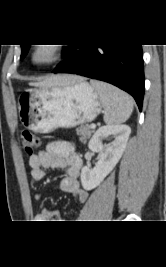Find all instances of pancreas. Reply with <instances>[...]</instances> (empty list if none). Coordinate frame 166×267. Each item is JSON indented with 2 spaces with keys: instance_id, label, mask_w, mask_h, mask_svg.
Segmentation results:
<instances>
[{
  "instance_id": "cf45deb5",
  "label": "pancreas",
  "mask_w": 166,
  "mask_h": 267,
  "mask_svg": "<svg viewBox=\"0 0 166 267\" xmlns=\"http://www.w3.org/2000/svg\"><path fill=\"white\" fill-rule=\"evenodd\" d=\"M77 134L80 136L79 139L81 142L85 143L88 138L91 137L94 132L89 125H81L76 129Z\"/></svg>"
}]
</instances>
